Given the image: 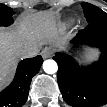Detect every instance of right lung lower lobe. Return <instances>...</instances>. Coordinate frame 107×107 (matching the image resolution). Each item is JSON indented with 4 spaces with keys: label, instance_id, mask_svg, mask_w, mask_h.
Listing matches in <instances>:
<instances>
[{
    "label": "right lung lower lobe",
    "instance_id": "1",
    "mask_svg": "<svg viewBox=\"0 0 107 107\" xmlns=\"http://www.w3.org/2000/svg\"><path fill=\"white\" fill-rule=\"evenodd\" d=\"M41 56L22 60L17 68L15 79L0 92V107H19L27 101L31 79L42 65Z\"/></svg>",
    "mask_w": 107,
    "mask_h": 107
}]
</instances>
